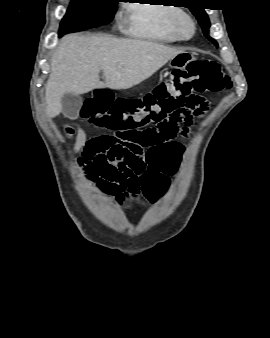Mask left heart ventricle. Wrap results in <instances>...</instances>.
Here are the masks:
<instances>
[{
  "label": "left heart ventricle",
  "mask_w": 270,
  "mask_h": 338,
  "mask_svg": "<svg viewBox=\"0 0 270 338\" xmlns=\"http://www.w3.org/2000/svg\"><path fill=\"white\" fill-rule=\"evenodd\" d=\"M182 32L185 33V34H187V33L189 32V27H188L187 24H184V25L182 26Z\"/></svg>",
  "instance_id": "b2bd125f"
}]
</instances>
